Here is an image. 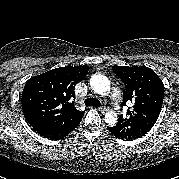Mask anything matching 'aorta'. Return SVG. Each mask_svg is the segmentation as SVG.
Wrapping results in <instances>:
<instances>
[{"instance_id": "obj_1", "label": "aorta", "mask_w": 179, "mask_h": 179, "mask_svg": "<svg viewBox=\"0 0 179 179\" xmlns=\"http://www.w3.org/2000/svg\"><path fill=\"white\" fill-rule=\"evenodd\" d=\"M90 86L95 93L102 96H106L111 88L109 79L101 74H95L90 78ZM104 120L108 125L113 126L117 122V115L116 113L108 112Z\"/></svg>"}]
</instances>
